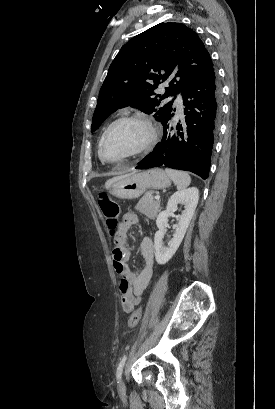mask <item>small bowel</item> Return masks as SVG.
<instances>
[{
  "label": "small bowel",
  "mask_w": 275,
  "mask_h": 409,
  "mask_svg": "<svg viewBox=\"0 0 275 409\" xmlns=\"http://www.w3.org/2000/svg\"><path fill=\"white\" fill-rule=\"evenodd\" d=\"M137 222L135 215L124 212L117 229L118 246L112 251L111 261L114 270L121 276L119 282L121 306L125 312H130L139 303L144 291L148 287L153 274L154 246L151 238L145 237L140 244V252L144 259V266L133 271L128 266L131 248L128 243V232Z\"/></svg>",
  "instance_id": "obj_1"
}]
</instances>
